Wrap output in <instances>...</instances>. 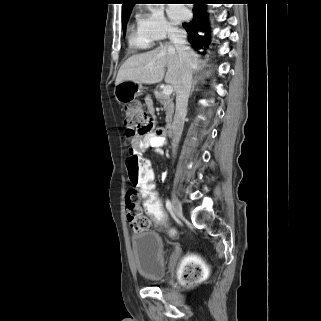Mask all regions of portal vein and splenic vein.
<instances>
[{"label": "portal vein and splenic vein", "instance_id": "portal-vein-and-splenic-vein-1", "mask_svg": "<svg viewBox=\"0 0 321 321\" xmlns=\"http://www.w3.org/2000/svg\"><path fill=\"white\" fill-rule=\"evenodd\" d=\"M173 92V88L171 85H166L164 88H163V94L165 95H171V93Z\"/></svg>", "mask_w": 321, "mask_h": 321}]
</instances>
